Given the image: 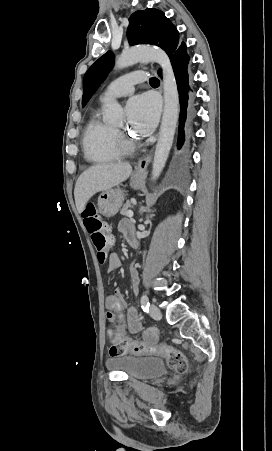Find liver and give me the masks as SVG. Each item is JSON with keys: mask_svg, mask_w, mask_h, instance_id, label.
<instances>
[{"mask_svg": "<svg viewBox=\"0 0 272 451\" xmlns=\"http://www.w3.org/2000/svg\"><path fill=\"white\" fill-rule=\"evenodd\" d=\"M132 172V166L128 162L123 164H96L90 166L79 176L75 190V204L77 212L82 214L85 206L97 192L103 190H111L113 186H118L120 182H124L129 178Z\"/></svg>", "mask_w": 272, "mask_h": 451, "instance_id": "6515ba94", "label": "liver"}]
</instances>
